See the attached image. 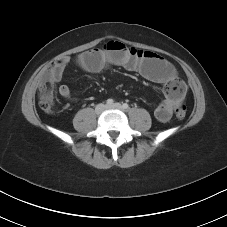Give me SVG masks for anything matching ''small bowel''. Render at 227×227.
Returning <instances> with one entry per match:
<instances>
[{"instance_id":"small-bowel-1","label":"small bowel","mask_w":227,"mask_h":227,"mask_svg":"<svg viewBox=\"0 0 227 227\" xmlns=\"http://www.w3.org/2000/svg\"><path fill=\"white\" fill-rule=\"evenodd\" d=\"M69 62L68 57L61 59L47 74L53 82H59ZM80 68L89 73H99L109 66H119L128 71L138 72L149 81L164 86V100L154 111L155 118L167 122L176 106L185 97V85L178 78L174 66L160 55L151 51L129 48L118 41H110L103 48H94L81 53L77 58ZM59 95L67 100H74L67 85H61Z\"/></svg>"}]
</instances>
